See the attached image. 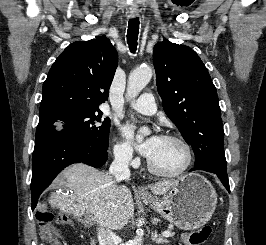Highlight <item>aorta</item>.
Here are the masks:
<instances>
[{"label":"aorta","mask_w":266,"mask_h":245,"mask_svg":"<svg viewBox=\"0 0 266 245\" xmlns=\"http://www.w3.org/2000/svg\"><path fill=\"white\" fill-rule=\"evenodd\" d=\"M152 78V68L151 66H139L132 70L128 76L127 82V94L128 98H136L140 94L142 88H145L146 84L150 82ZM140 135H137V143H142L144 137L143 135H149L148 129H141L139 131ZM132 245H143V231L142 229H137L136 237L133 239Z\"/></svg>","instance_id":"aorta-1"}]
</instances>
